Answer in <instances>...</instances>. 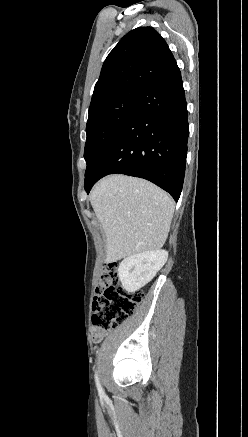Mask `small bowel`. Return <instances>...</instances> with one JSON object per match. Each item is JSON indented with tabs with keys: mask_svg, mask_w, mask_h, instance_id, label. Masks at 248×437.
Segmentation results:
<instances>
[{
	"mask_svg": "<svg viewBox=\"0 0 248 437\" xmlns=\"http://www.w3.org/2000/svg\"><path fill=\"white\" fill-rule=\"evenodd\" d=\"M105 334H106V331L103 330V329H99V328H96V327L92 328V336H93V339L95 341L101 340L104 337Z\"/></svg>",
	"mask_w": 248,
	"mask_h": 437,
	"instance_id": "c3829d8e",
	"label": "small bowel"
}]
</instances>
